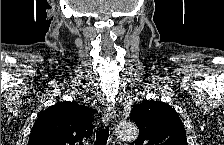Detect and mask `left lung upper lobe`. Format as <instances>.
I'll list each match as a JSON object with an SVG mask.
<instances>
[{
	"instance_id": "5c2ea615",
	"label": "left lung upper lobe",
	"mask_w": 224,
	"mask_h": 145,
	"mask_svg": "<svg viewBox=\"0 0 224 145\" xmlns=\"http://www.w3.org/2000/svg\"><path fill=\"white\" fill-rule=\"evenodd\" d=\"M130 119L139 128L135 145H187L180 117L164 102L144 99L134 105Z\"/></svg>"
}]
</instances>
